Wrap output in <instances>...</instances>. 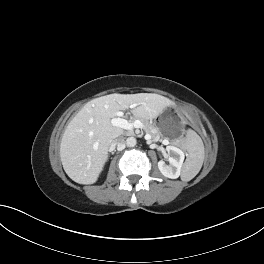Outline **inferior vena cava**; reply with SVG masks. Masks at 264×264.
<instances>
[{"label":"inferior vena cava","instance_id":"602c4592","mask_svg":"<svg viewBox=\"0 0 264 264\" xmlns=\"http://www.w3.org/2000/svg\"><path fill=\"white\" fill-rule=\"evenodd\" d=\"M113 144L116 146L117 150L121 151L126 146L125 138L123 136H118L113 141Z\"/></svg>","mask_w":264,"mask_h":264}]
</instances>
